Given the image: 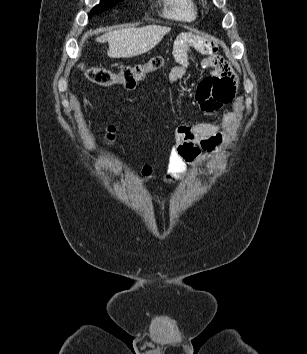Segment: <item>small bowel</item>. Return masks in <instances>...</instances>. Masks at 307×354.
<instances>
[{
	"label": "small bowel",
	"instance_id": "c3829d8e",
	"mask_svg": "<svg viewBox=\"0 0 307 354\" xmlns=\"http://www.w3.org/2000/svg\"><path fill=\"white\" fill-rule=\"evenodd\" d=\"M190 49L204 54L202 64L212 69L211 75L200 82L195 94L201 109L212 113L232 101L236 80L228 62L216 52L210 40L185 37L176 43L174 53L177 65L169 72L168 90L186 77L190 65ZM235 116L234 112H228L218 123L198 122L176 125L166 181L174 182L181 178L185 171V163L204 161L209 154L221 148L226 141L223 131L233 123ZM108 131L109 138L113 139L114 127H109ZM141 173L145 178H149L152 167L143 166Z\"/></svg>",
	"mask_w": 307,
	"mask_h": 354
}]
</instances>
